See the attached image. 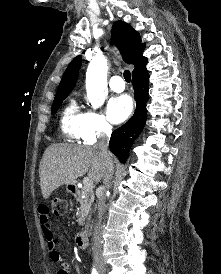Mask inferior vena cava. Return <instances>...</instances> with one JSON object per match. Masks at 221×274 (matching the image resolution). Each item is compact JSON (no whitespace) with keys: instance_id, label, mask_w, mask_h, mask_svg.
I'll return each instance as SVG.
<instances>
[{"instance_id":"602c4592","label":"inferior vena cava","mask_w":221,"mask_h":274,"mask_svg":"<svg viewBox=\"0 0 221 274\" xmlns=\"http://www.w3.org/2000/svg\"><path fill=\"white\" fill-rule=\"evenodd\" d=\"M103 131L105 135H103L102 139L98 142L97 146H95L97 147L101 156L106 160V163H107V170L103 179L104 185L102 187V193L98 197V222L96 225L93 245H92L93 256H94V259L96 260L101 258V254H102V240L100 235V230L102 228L101 221H102V215L106 208V204H105L106 189L110 187V181L113 175V162H112L111 154L108 151L109 137L112 132L111 126L105 125L103 128Z\"/></svg>"}]
</instances>
